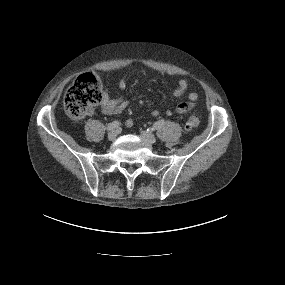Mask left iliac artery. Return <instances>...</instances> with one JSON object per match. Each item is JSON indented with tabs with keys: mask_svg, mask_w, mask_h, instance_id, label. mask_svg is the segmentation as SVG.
Here are the masks:
<instances>
[{
	"mask_svg": "<svg viewBox=\"0 0 285 285\" xmlns=\"http://www.w3.org/2000/svg\"><path fill=\"white\" fill-rule=\"evenodd\" d=\"M164 123H165L164 120H159V121L155 122V124L153 125V128H149V129H147V131L156 130V129L160 128L161 126H163Z\"/></svg>",
	"mask_w": 285,
	"mask_h": 285,
	"instance_id": "obj_1",
	"label": "left iliac artery"
}]
</instances>
